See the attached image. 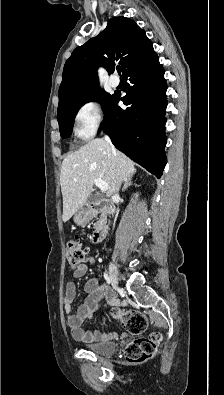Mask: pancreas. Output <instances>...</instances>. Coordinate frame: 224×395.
I'll return each instance as SVG.
<instances>
[{
    "label": "pancreas",
    "mask_w": 224,
    "mask_h": 395,
    "mask_svg": "<svg viewBox=\"0 0 224 395\" xmlns=\"http://www.w3.org/2000/svg\"><path fill=\"white\" fill-rule=\"evenodd\" d=\"M100 213H101V215H100L99 221H98V222L95 224V226H94L96 229L99 227V223L105 220V214H104V212H103V211H100Z\"/></svg>",
    "instance_id": "pancreas-1"
}]
</instances>
